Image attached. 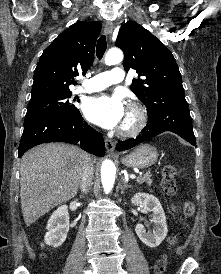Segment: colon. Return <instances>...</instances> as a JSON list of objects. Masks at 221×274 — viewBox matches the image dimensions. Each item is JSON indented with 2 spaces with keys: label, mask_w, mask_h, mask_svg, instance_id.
Masks as SVG:
<instances>
[{
  "label": "colon",
  "mask_w": 221,
  "mask_h": 274,
  "mask_svg": "<svg viewBox=\"0 0 221 274\" xmlns=\"http://www.w3.org/2000/svg\"><path fill=\"white\" fill-rule=\"evenodd\" d=\"M161 186L163 191L168 195H174L177 190V183L175 178V168L172 165H167L164 167L162 172ZM194 214V204L190 200H186L182 205V218L184 220H189ZM179 236L173 235L170 238V246L176 244ZM167 265V255H164L155 265L156 274H164Z\"/></svg>",
  "instance_id": "obj_1"
}]
</instances>
